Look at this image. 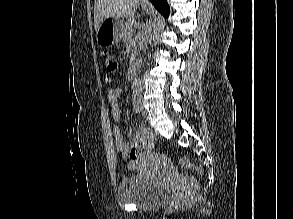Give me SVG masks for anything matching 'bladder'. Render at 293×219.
<instances>
[{"mask_svg":"<svg viewBox=\"0 0 293 219\" xmlns=\"http://www.w3.org/2000/svg\"><path fill=\"white\" fill-rule=\"evenodd\" d=\"M164 187L150 182L139 175L124 177L117 190L118 199L125 204H134L144 209H154L165 199Z\"/></svg>","mask_w":293,"mask_h":219,"instance_id":"1","label":"bladder"}]
</instances>
